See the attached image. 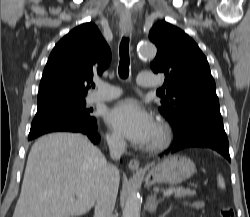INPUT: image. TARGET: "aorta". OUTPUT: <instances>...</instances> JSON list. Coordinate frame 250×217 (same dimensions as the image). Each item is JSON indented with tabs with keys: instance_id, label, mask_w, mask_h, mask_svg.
<instances>
[{
	"instance_id": "obj_1",
	"label": "aorta",
	"mask_w": 250,
	"mask_h": 217,
	"mask_svg": "<svg viewBox=\"0 0 250 217\" xmlns=\"http://www.w3.org/2000/svg\"><path fill=\"white\" fill-rule=\"evenodd\" d=\"M138 55L142 58H154L156 47L152 43H143L138 47ZM141 200L136 190L130 192L123 210V217H140Z\"/></svg>"
}]
</instances>
